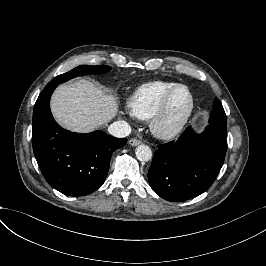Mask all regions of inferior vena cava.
Instances as JSON below:
<instances>
[{
  "label": "inferior vena cava",
  "instance_id": "obj_1",
  "mask_svg": "<svg viewBox=\"0 0 266 266\" xmlns=\"http://www.w3.org/2000/svg\"><path fill=\"white\" fill-rule=\"evenodd\" d=\"M108 132L114 137L123 138L131 133V127L126 121H116L108 127Z\"/></svg>",
  "mask_w": 266,
  "mask_h": 266
}]
</instances>
